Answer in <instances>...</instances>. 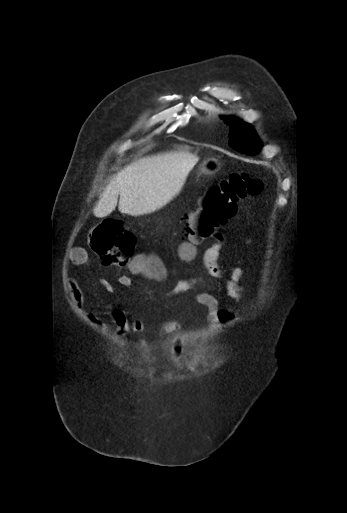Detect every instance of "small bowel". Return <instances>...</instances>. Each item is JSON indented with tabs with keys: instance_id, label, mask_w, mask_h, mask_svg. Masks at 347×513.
I'll list each match as a JSON object with an SVG mask.
<instances>
[{
	"instance_id": "c3829d8e",
	"label": "small bowel",
	"mask_w": 347,
	"mask_h": 513,
	"mask_svg": "<svg viewBox=\"0 0 347 513\" xmlns=\"http://www.w3.org/2000/svg\"><path fill=\"white\" fill-rule=\"evenodd\" d=\"M213 243L205 251L203 257V267L208 277H198L191 279H179L170 290L171 295H182L196 288L215 283L226 295L239 304L245 302L246 296L243 283L245 281V272L237 266L223 267L218 263L220 253L225 244V236L222 232H216L213 237ZM248 243L252 241L249 239ZM69 261L75 265L84 266L88 263V255L83 249H75L69 256ZM118 282L129 287L131 278L129 275H121ZM102 287L107 292H113L114 288L108 283H102ZM67 288L72 303L80 310L83 309L84 294L76 280L69 277ZM195 301L206 311V320L210 325L225 323L235 317L234 311L222 308L215 295L207 291H198L195 294ZM111 323L115 326L119 337H126L130 334L145 335L150 331L157 334H178L181 331V324L176 319H169L161 322L155 327H149L141 318H128L122 310L112 308L105 312ZM88 319L98 327L105 326V320L97 313H88ZM183 351V345L180 338H176L171 344L168 352L170 360H177Z\"/></svg>"
}]
</instances>
